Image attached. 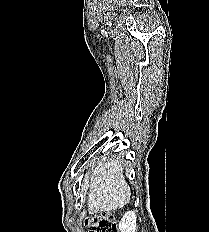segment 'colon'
Here are the masks:
<instances>
[{
    "label": "colon",
    "mask_w": 209,
    "mask_h": 232,
    "mask_svg": "<svg viewBox=\"0 0 209 232\" xmlns=\"http://www.w3.org/2000/svg\"><path fill=\"white\" fill-rule=\"evenodd\" d=\"M89 232H118L114 217L105 212L96 213L85 220Z\"/></svg>",
    "instance_id": "obj_1"
}]
</instances>
